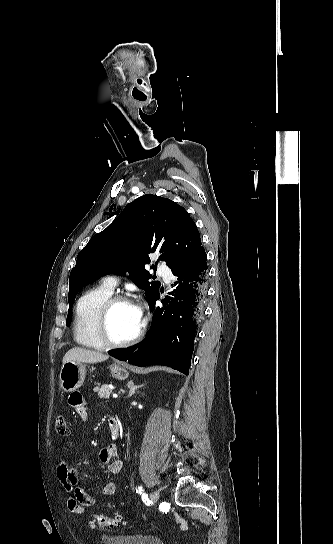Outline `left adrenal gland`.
<instances>
[{"instance_id":"1","label":"left adrenal gland","mask_w":333,"mask_h":544,"mask_svg":"<svg viewBox=\"0 0 333 544\" xmlns=\"http://www.w3.org/2000/svg\"><path fill=\"white\" fill-rule=\"evenodd\" d=\"M142 386H143V385L135 386L133 380H130V381L127 383V387H128L129 390H130V391H129L128 397L130 398L132 395H134L135 391H136L138 388L142 387Z\"/></svg>"}]
</instances>
